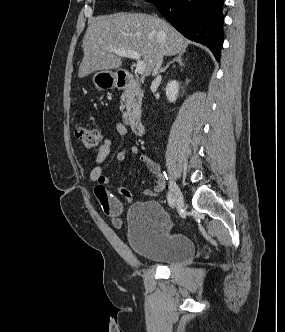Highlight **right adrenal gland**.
Masks as SVG:
<instances>
[{"instance_id": "obj_1", "label": "right adrenal gland", "mask_w": 285, "mask_h": 332, "mask_svg": "<svg viewBox=\"0 0 285 332\" xmlns=\"http://www.w3.org/2000/svg\"><path fill=\"white\" fill-rule=\"evenodd\" d=\"M182 56L183 54L180 53L178 54L176 57L173 58L172 61H170L162 70H161V73H165L166 70L168 69V67L173 63V62H177L179 63L180 66H184V63H183V60H182Z\"/></svg>"}]
</instances>
